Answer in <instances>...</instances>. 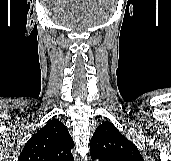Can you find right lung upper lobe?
Returning a JSON list of instances; mask_svg holds the SVG:
<instances>
[{"label": "right lung upper lobe", "instance_id": "cb5924a9", "mask_svg": "<svg viewBox=\"0 0 171 161\" xmlns=\"http://www.w3.org/2000/svg\"><path fill=\"white\" fill-rule=\"evenodd\" d=\"M73 147L67 128L53 119L28 140L18 161H74Z\"/></svg>", "mask_w": 171, "mask_h": 161}]
</instances>
